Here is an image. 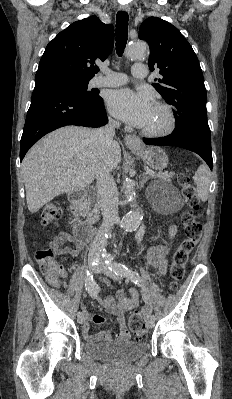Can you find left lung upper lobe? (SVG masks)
I'll return each instance as SVG.
<instances>
[{
	"label": "left lung upper lobe",
	"mask_w": 232,
	"mask_h": 399,
	"mask_svg": "<svg viewBox=\"0 0 232 399\" xmlns=\"http://www.w3.org/2000/svg\"><path fill=\"white\" fill-rule=\"evenodd\" d=\"M139 38L150 46V70L159 69L161 75L153 86L174 107L173 133L211 143L204 78L189 42L176 27L158 17L141 24Z\"/></svg>",
	"instance_id": "obj_1"
}]
</instances>
